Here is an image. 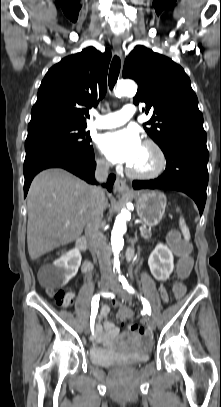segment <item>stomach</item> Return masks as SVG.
I'll return each mask as SVG.
<instances>
[{
    "label": "stomach",
    "instance_id": "0dacf381",
    "mask_svg": "<svg viewBox=\"0 0 221 407\" xmlns=\"http://www.w3.org/2000/svg\"><path fill=\"white\" fill-rule=\"evenodd\" d=\"M166 203V197L162 192H141L136 202L139 218L149 227L157 225L164 216Z\"/></svg>",
    "mask_w": 221,
    "mask_h": 407
}]
</instances>
